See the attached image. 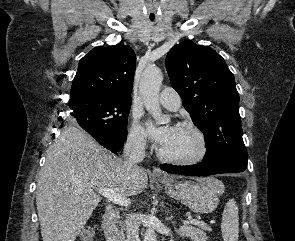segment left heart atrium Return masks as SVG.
Instances as JSON below:
<instances>
[{"mask_svg": "<svg viewBox=\"0 0 295 241\" xmlns=\"http://www.w3.org/2000/svg\"><path fill=\"white\" fill-rule=\"evenodd\" d=\"M148 131L150 136L162 147L170 140L174 132V127L167 126L157 128L149 122Z\"/></svg>", "mask_w": 295, "mask_h": 241, "instance_id": "39dd6f15", "label": "left heart atrium"}]
</instances>
